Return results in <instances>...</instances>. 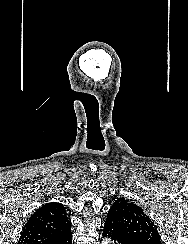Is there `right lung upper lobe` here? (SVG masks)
<instances>
[{
  "instance_id": "right-lung-upper-lobe-1",
  "label": "right lung upper lobe",
  "mask_w": 188,
  "mask_h": 244,
  "mask_svg": "<svg viewBox=\"0 0 188 244\" xmlns=\"http://www.w3.org/2000/svg\"><path fill=\"white\" fill-rule=\"evenodd\" d=\"M71 230V223L61 203L43 205L25 224L18 244H41L52 241Z\"/></svg>"
}]
</instances>
